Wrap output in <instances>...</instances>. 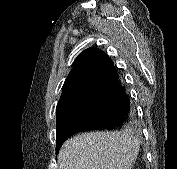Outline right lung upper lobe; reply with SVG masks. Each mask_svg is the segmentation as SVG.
I'll use <instances>...</instances> for the list:
<instances>
[{"instance_id": "1", "label": "right lung upper lobe", "mask_w": 177, "mask_h": 169, "mask_svg": "<svg viewBox=\"0 0 177 169\" xmlns=\"http://www.w3.org/2000/svg\"><path fill=\"white\" fill-rule=\"evenodd\" d=\"M108 57L97 48H88L79 56L63 85L60 100L76 93L87 81L109 63Z\"/></svg>"}]
</instances>
